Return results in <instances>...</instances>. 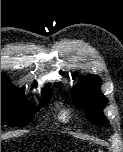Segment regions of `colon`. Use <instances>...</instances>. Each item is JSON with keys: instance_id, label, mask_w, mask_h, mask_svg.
Wrapping results in <instances>:
<instances>
[{"instance_id": "obj_1", "label": "colon", "mask_w": 123, "mask_h": 152, "mask_svg": "<svg viewBox=\"0 0 123 152\" xmlns=\"http://www.w3.org/2000/svg\"><path fill=\"white\" fill-rule=\"evenodd\" d=\"M91 152H105V151L100 148H95Z\"/></svg>"}]
</instances>
